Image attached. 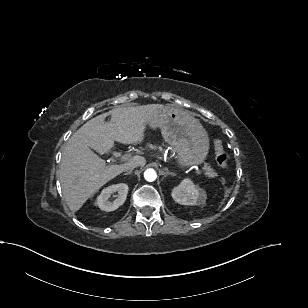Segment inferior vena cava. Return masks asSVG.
Wrapping results in <instances>:
<instances>
[{"label":"inferior vena cava","instance_id":"obj_1","mask_svg":"<svg viewBox=\"0 0 308 308\" xmlns=\"http://www.w3.org/2000/svg\"><path fill=\"white\" fill-rule=\"evenodd\" d=\"M136 166H138L137 164L135 163H129L125 169V171H132Z\"/></svg>","mask_w":308,"mask_h":308}]
</instances>
